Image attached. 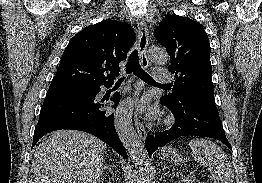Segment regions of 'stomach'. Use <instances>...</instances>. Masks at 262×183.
<instances>
[{
	"mask_svg": "<svg viewBox=\"0 0 262 183\" xmlns=\"http://www.w3.org/2000/svg\"><path fill=\"white\" fill-rule=\"evenodd\" d=\"M160 158L163 160H171L174 163H181L184 161L182 154L171 146H167L161 151Z\"/></svg>",
	"mask_w": 262,
	"mask_h": 183,
	"instance_id": "0dacf381",
	"label": "stomach"
}]
</instances>
